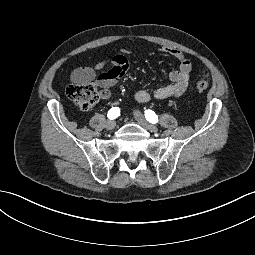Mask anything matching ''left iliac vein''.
Masks as SVG:
<instances>
[{"label": "left iliac vein", "mask_w": 255, "mask_h": 255, "mask_svg": "<svg viewBox=\"0 0 255 255\" xmlns=\"http://www.w3.org/2000/svg\"><path fill=\"white\" fill-rule=\"evenodd\" d=\"M134 117L136 119V121L146 130L150 131V132H157L158 128L157 126L149 123L144 116L137 110L134 112Z\"/></svg>", "instance_id": "4c4485c4"}]
</instances>
